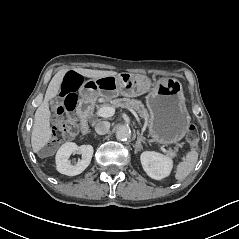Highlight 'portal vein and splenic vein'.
<instances>
[{"label":"portal vein and splenic vein","mask_w":239,"mask_h":239,"mask_svg":"<svg viewBox=\"0 0 239 239\" xmlns=\"http://www.w3.org/2000/svg\"><path fill=\"white\" fill-rule=\"evenodd\" d=\"M126 109H127L128 111H130L131 113L134 114V116H135V118H136L137 121L139 120V119H138V116L136 115V112H135V111H133V110L130 109L129 107H127ZM114 112H115L114 108L104 106V107H100V108L96 111V114H97L98 117H105V118H107V117L113 116V115H114ZM138 123H139V126L141 127V126H142V123H141L140 120L138 121ZM159 148L162 150V152H163L164 154H168V150L164 149V147H162V146L160 145Z\"/></svg>","instance_id":"18ae733b"}]
</instances>
